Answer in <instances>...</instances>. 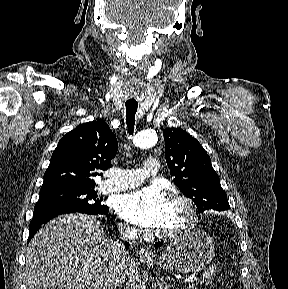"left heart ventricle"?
Here are the masks:
<instances>
[{
    "mask_svg": "<svg viewBox=\"0 0 288 289\" xmlns=\"http://www.w3.org/2000/svg\"><path fill=\"white\" fill-rule=\"evenodd\" d=\"M184 209L179 203L168 201V219L164 225L167 228H175L184 221Z\"/></svg>",
    "mask_w": 288,
    "mask_h": 289,
    "instance_id": "1",
    "label": "left heart ventricle"
}]
</instances>
